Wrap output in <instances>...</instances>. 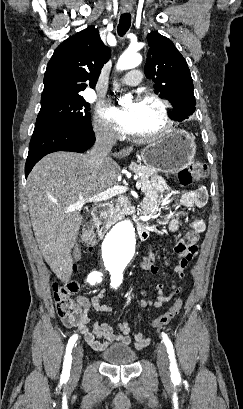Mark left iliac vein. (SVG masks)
Listing matches in <instances>:
<instances>
[{"label":"left iliac vein","instance_id":"left-iliac-vein-1","mask_svg":"<svg viewBox=\"0 0 243 409\" xmlns=\"http://www.w3.org/2000/svg\"><path fill=\"white\" fill-rule=\"evenodd\" d=\"M157 365L162 378L167 379L169 377V361L166 352V348L163 344L157 345Z\"/></svg>","mask_w":243,"mask_h":409}]
</instances>
